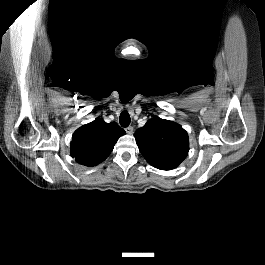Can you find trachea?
<instances>
[{
  "label": "trachea",
  "mask_w": 265,
  "mask_h": 265,
  "mask_svg": "<svg viewBox=\"0 0 265 265\" xmlns=\"http://www.w3.org/2000/svg\"><path fill=\"white\" fill-rule=\"evenodd\" d=\"M130 115L129 113L124 110L121 114H120V117H119V122L121 124L122 127H128L129 124H130Z\"/></svg>",
  "instance_id": "3493384b"
}]
</instances>
